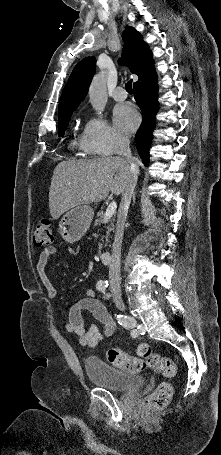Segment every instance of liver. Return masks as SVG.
<instances>
[{
    "label": "liver",
    "instance_id": "liver-1",
    "mask_svg": "<svg viewBox=\"0 0 221 455\" xmlns=\"http://www.w3.org/2000/svg\"><path fill=\"white\" fill-rule=\"evenodd\" d=\"M135 163L138 167L141 165L138 160ZM128 165L124 157L60 162L54 169L49 189L52 218L58 219L75 206L100 202L109 192L122 194L127 184Z\"/></svg>",
    "mask_w": 221,
    "mask_h": 455
}]
</instances>
